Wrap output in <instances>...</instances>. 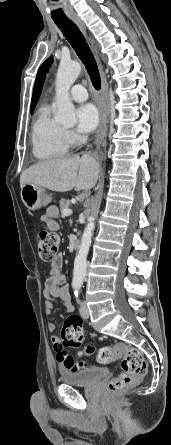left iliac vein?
<instances>
[{
	"label": "left iliac vein",
	"mask_w": 171,
	"mask_h": 445,
	"mask_svg": "<svg viewBox=\"0 0 171 445\" xmlns=\"http://www.w3.org/2000/svg\"><path fill=\"white\" fill-rule=\"evenodd\" d=\"M80 314L84 319L89 318V309H88L86 302H82L81 307H80Z\"/></svg>",
	"instance_id": "obj_1"
}]
</instances>
